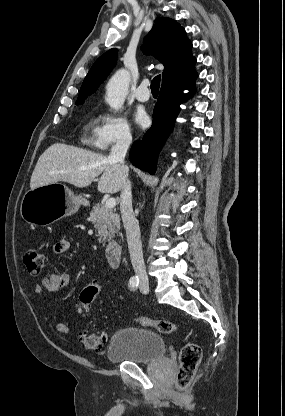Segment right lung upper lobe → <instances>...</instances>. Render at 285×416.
I'll return each instance as SVG.
<instances>
[{"instance_id":"obj_1","label":"right lung upper lobe","mask_w":285,"mask_h":416,"mask_svg":"<svg viewBox=\"0 0 285 416\" xmlns=\"http://www.w3.org/2000/svg\"><path fill=\"white\" fill-rule=\"evenodd\" d=\"M192 43L185 30L174 20L158 17L144 38L141 47L145 54L155 56L163 65L162 85L194 72L196 58L191 53ZM117 49L113 48L100 56L83 81L76 104L96 91L99 84L116 65Z\"/></svg>"}]
</instances>
